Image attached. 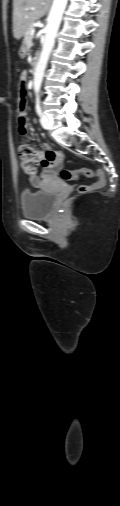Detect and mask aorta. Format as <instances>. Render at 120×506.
<instances>
[{
    "mask_svg": "<svg viewBox=\"0 0 120 506\" xmlns=\"http://www.w3.org/2000/svg\"><path fill=\"white\" fill-rule=\"evenodd\" d=\"M67 0H54L45 28V39L34 73V91L38 93L42 84L47 62L55 43Z\"/></svg>",
    "mask_w": 120,
    "mask_h": 506,
    "instance_id": "obj_1",
    "label": "aorta"
}]
</instances>
